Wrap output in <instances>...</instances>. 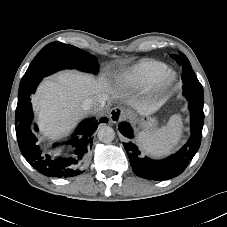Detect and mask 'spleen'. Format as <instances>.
I'll use <instances>...</instances> for the list:
<instances>
[{"label": "spleen", "instance_id": "1", "mask_svg": "<svg viewBox=\"0 0 227 227\" xmlns=\"http://www.w3.org/2000/svg\"><path fill=\"white\" fill-rule=\"evenodd\" d=\"M183 123L180 115L170 117L166 126L153 133H141L138 140L141 148L153 157L168 155L182 136Z\"/></svg>", "mask_w": 227, "mask_h": 227}]
</instances>
